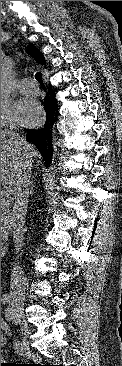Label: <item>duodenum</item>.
<instances>
[{"label": "duodenum", "mask_w": 122, "mask_h": 366, "mask_svg": "<svg viewBox=\"0 0 122 366\" xmlns=\"http://www.w3.org/2000/svg\"><path fill=\"white\" fill-rule=\"evenodd\" d=\"M5 250H6V246L3 243H1V257L5 253Z\"/></svg>", "instance_id": "1"}]
</instances>
